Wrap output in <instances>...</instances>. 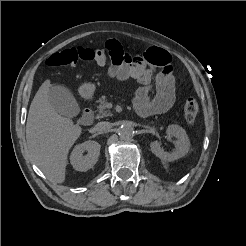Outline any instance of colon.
<instances>
[{
  "mask_svg": "<svg viewBox=\"0 0 246 246\" xmlns=\"http://www.w3.org/2000/svg\"><path fill=\"white\" fill-rule=\"evenodd\" d=\"M120 55L121 52L118 49H114L111 53L107 49H93L79 46L52 54L47 59L46 63L52 67L74 65L78 61H90L95 62L98 65H104L112 59V56L120 57ZM198 109V103L194 98L190 97L185 101L183 114L188 123H193L195 121Z\"/></svg>",
  "mask_w": 246,
  "mask_h": 246,
  "instance_id": "colon-1",
  "label": "colon"
}]
</instances>
